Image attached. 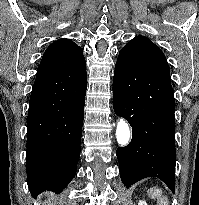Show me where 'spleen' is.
<instances>
[{
    "instance_id": "spleen-1",
    "label": "spleen",
    "mask_w": 199,
    "mask_h": 205,
    "mask_svg": "<svg viewBox=\"0 0 199 205\" xmlns=\"http://www.w3.org/2000/svg\"><path fill=\"white\" fill-rule=\"evenodd\" d=\"M148 194L152 199H157L158 205H169L167 198L162 195V190L161 189H159V188H150Z\"/></svg>"
}]
</instances>
